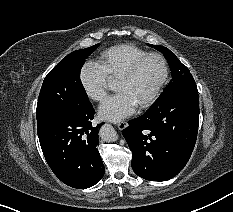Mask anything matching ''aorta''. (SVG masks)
<instances>
[{
    "label": "aorta",
    "instance_id": "obj_1",
    "mask_svg": "<svg viewBox=\"0 0 233 212\" xmlns=\"http://www.w3.org/2000/svg\"><path fill=\"white\" fill-rule=\"evenodd\" d=\"M100 137L106 142L116 141L117 133L112 125L105 124L100 129Z\"/></svg>",
    "mask_w": 233,
    "mask_h": 212
}]
</instances>
